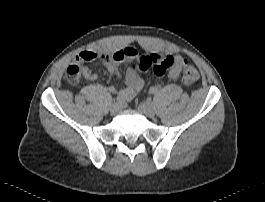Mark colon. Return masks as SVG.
Segmentation results:
<instances>
[{
    "instance_id": "colon-1",
    "label": "colon",
    "mask_w": 265,
    "mask_h": 202,
    "mask_svg": "<svg viewBox=\"0 0 265 202\" xmlns=\"http://www.w3.org/2000/svg\"><path fill=\"white\" fill-rule=\"evenodd\" d=\"M134 51L121 50L113 55L114 59L120 60L124 57H134ZM174 65V59L168 55L143 54L134 59L132 67L141 73H153L163 76ZM84 68L81 64H71L66 69V78L71 84H79L83 80ZM180 81L185 85H192L200 80V74L196 67L188 60L182 62L179 74Z\"/></svg>"
}]
</instances>
